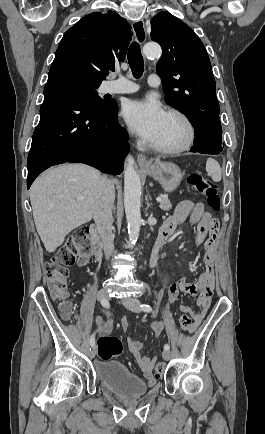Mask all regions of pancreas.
<instances>
[{"mask_svg":"<svg viewBox=\"0 0 265 434\" xmlns=\"http://www.w3.org/2000/svg\"><path fill=\"white\" fill-rule=\"evenodd\" d=\"M161 210H165V212H168V210H171L172 204L170 200H166V198H162L161 202H159Z\"/></svg>","mask_w":265,"mask_h":434,"instance_id":"1","label":"pancreas"}]
</instances>
